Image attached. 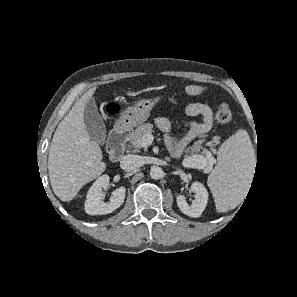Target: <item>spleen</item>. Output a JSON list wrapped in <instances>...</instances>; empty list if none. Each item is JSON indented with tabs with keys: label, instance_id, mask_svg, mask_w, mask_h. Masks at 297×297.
I'll return each instance as SVG.
<instances>
[{
	"label": "spleen",
	"instance_id": "obj_1",
	"mask_svg": "<svg viewBox=\"0 0 297 297\" xmlns=\"http://www.w3.org/2000/svg\"><path fill=\"white\" fill-rule=\"evenodd\" d=\"M255 159L254 148L245 130H238L220 146L217 165L208 177L217 211L227 210L245 194Z\"/></svg>",
	"mask_w": 297,
	"mask_h": 297
}]
</instances>
